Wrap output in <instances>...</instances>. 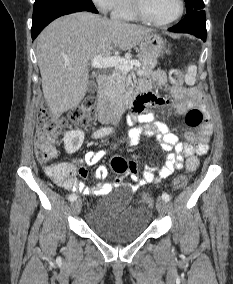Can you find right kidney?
Segmentation results:
<instances>
[{
  "instance_id": "ca27d5eb",
  "label": "right kidney",
  "mask_w": 233,
  "mask_h": 284,
  "mask_svg": "<svg viewBox=\"0 0 233 284\" xmlns=\"http://www.w3.org/2000/svg\"><path fill=\"white\" fill-rule=\"evenodd\" d=\"M65 150L67 153H75L82 145L84 141V133L80 130L69 131L63 138Z\"/></svg>"
}]
</instances>
